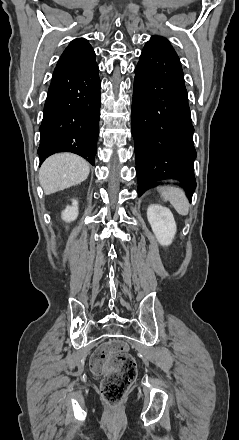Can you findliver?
Here are the masks:
<instances>
[{
	"instance_id": "liver-1",
	"label": "liver",
	"mask_w": 239,
	"mask_h": 440,
	"mask_svg": "<svg viewBox=\"0 0 239 440\" xmlns=\"http://www.w3.org/2000/svg\"><path fill=\"white\" fill-rule=\"evenodd\" d=\"M89 164L75 154H54L45 160L39 170V182L44 194H55L71 188L88 178Z\"/></svg>"
}]
</instances>
